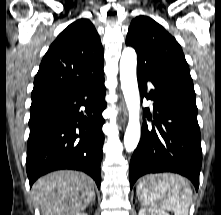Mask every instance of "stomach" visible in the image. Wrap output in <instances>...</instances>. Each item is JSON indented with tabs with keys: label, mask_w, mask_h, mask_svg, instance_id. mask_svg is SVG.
I'll use <instances>...</instances> for the list:
<instances>
[{
	"label": "stomach",
	"mask_w": 221,
	"mask_h": 215,
	"mask_svg": "<svg viewBox=\"0 0 221 215\" xmlns=\"http://www.w3.org/2000/svg\"><path fill=\"white\" fill-rule=\"evenodd\" d=\"M163 174H159V175H152V176H148L146 178H151V177H154L155 179H158V178H162Z\"/></svg>",
	"instance_id": "0dacf381"
}]
</instances>
